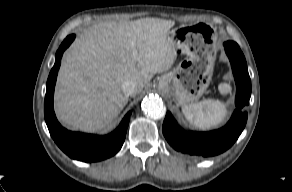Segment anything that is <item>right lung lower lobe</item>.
<instances>
[{"mask_svg":"<svg viewBox=\"0 0 292 192\" xmlns=\"http://www.w3.org/2000/svg\"><path fill=\"white\" fill-rule=\"evenodd\" d=\"M75 39L69 35L56 52L55 64L49 74L44 102V115L51 137L59 148L69 157L84 161L96 162L115 155L123 145L131 111L126 114L118 128L105 136L75 133L63 128L57 121L53 110V94L57 73L64 50Z\"/></svg>","mask_w":292,"mask_h":192,"instance_id":"1","label":"right lung lower lobe"}]
</instances>
